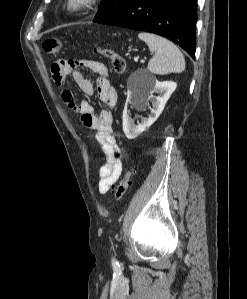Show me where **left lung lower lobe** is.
Returning <instances> with one entry per match:
<instances>
[{
  "instance_id": "1",
  "label": "left lung lower lobe",
  "mask_w": 247,
  "mask_h": 299,
  "mask_svg": "<svg viewBox=\"0 0 247 299\" xmlns=\"http://www.w3.org/2000/svg\"><path fill=\"white\" fill-rule=\"evenodd\" d=\"M196 20L197 0H123L97 23L164 36L193 57Z\"/></svg>"
}]
</instances>
